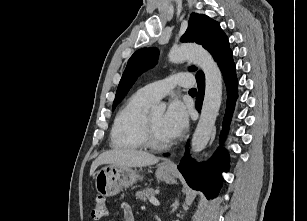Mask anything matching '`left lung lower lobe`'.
<instances>
[{
	"label": "left lung lower lobe",
	"mask_w": 307,
	"mask_h": 221,
	"mask_svg": "<svg viewBox=\"0 0 307 221\" xmlns=\"http://www.w3.org/2000/svg\"><path fill=\"white\" fill-rule=\"evenodd\" d=\"M218 65L225 79L228 96L226 113L223 121L224 130L221 136V138H223L228 129L237 98V78L232 53L221 60ZM197 85L198 94L196 97V109L200 111L204 97L205 78H198ZM188 153L189 151L187 150L185 156L178 165L179 171L192 189L204 192L207 198L212 199L216 197L222 184L221 173L228 169V153L223 149H218L211 160L205 164H197L190 158Z\"/></svg>",
	"instance_id": "1"
}]
</instances>
